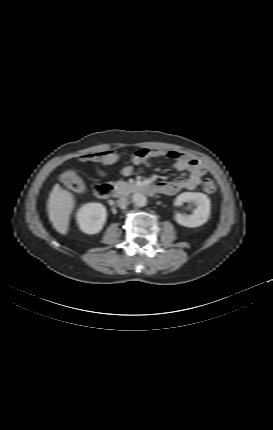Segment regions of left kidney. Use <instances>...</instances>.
I'll return each mask as SVG.
<instances>
[{
    "instance_id": "left-kidney-1",
    "label": "left kidney",
    "mask_w": 273,
    "mask_h": 430,
    "mask_svg": "<svg viewBox=\"0 0 273 430\" xmlns=\"http://www.w3.org/2000/svg\"><path fill=\"white\" fill-rule=\"evenodd\" d=\"M193 203L196 207L191 215H182L177 213L175 220L178 224L194 228L203 225L210 216L211 202L207 195L200 192H184L178 195L174 201L176 206H181L183 203Z\"/></svg>"
}]
</instances>
